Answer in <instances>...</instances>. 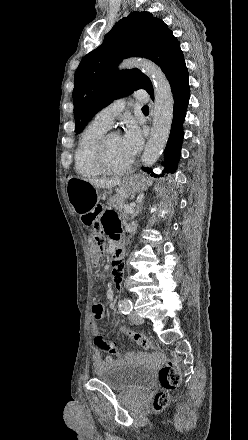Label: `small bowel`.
Listing matches in <instances>:
<instances>
[{
  "label": "small bowel",
  "mask_w": 248,
  "mask_h": 440,
  "mask_svg": "<svg viewBox=\"0 0 248 440\" xmlns=\"http://www.w3.org/2000/svg\"><path fill=\"white\" fill-rule=\"evenodd\" d=\"M103 225L104 230L107 234L110 235L112 239L120 238V220L118 215L111 210H107L103 213ZM118 266H113L112 275L114 279V284L118 288L121 286L123 280V269L120 264H122V259H117ZM107 298L109 304L111 306L114 305V290L112 287H109L107 290ZM104 307L101 303H96L92 307L91 311V320H90V328L93 336L95 338L99 337V329L98 323L104 318ZM154 359V356L149 353H138V354H129L126 360L122 361H133V362H149ZM115 360L112 358L103 359L101 354L96 351L93 355V365L97 372H100L107 367L113 365Z\"/></svg>",
  "instance_id": "obj_1"
}]
</instances>
